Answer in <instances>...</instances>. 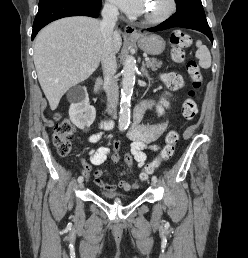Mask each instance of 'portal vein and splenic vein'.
<instances>
[{
  "label": "portal vein and splenic vein",
  "mask_w": 248,
  "mask_h": 258,
  "mask_svg": "<svg viewBox=\"0 0 248 258\" xmlns=\"http://www.w3.org/2000/svg\"><path fill=\"white\" fill-rule=\"evenodd\" d=\"M150 59L148 58V57H145V61L147 62V61H149Z\"/></svg>",
  "instance_id": "portal-vein-and-splenic-vein-1"
}]
</instances>
